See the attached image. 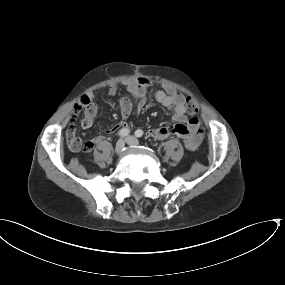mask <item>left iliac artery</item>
Wrapping results in <instances>:
<instances>
[{
  "mask_svg": "<svg viewBox=\"0 0 285 285\" xmlns=\"http://www.w3.org/2000/svg\"><path fill=\"white\" fill-rule=\"evenodd\" d=\"M135 136L138 137V138L142 137L143 136V131L141 129L136 130L135 131Z\"/></svg>",
  "mask_w": 285,
  "mask_h": 285,
  "instance_id": "44dca946",
  "label": "left iliac artery"
}]
</instances>
